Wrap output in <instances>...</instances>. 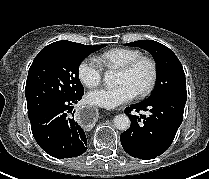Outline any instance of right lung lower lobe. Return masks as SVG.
I'll return each mask as SVG.
<instances>
[{
    "instance_id": "98d812e1",
    "label": "right lung lower lobe",
    "mask_w": 209,
    "mask_h": 179,
    "mask_svg": "<svg viewBox=\"0 0 209 179\" xmlns=\"http://www.w3.org/2000/svg\"><path fill=\"white\" fill-rule=\"evenodd\" d=\"M82 96L53 102L29 118L36 142L55 158L76 157L87 150L83 129L68 115Z\"/></svg>"
}]
</instances>
